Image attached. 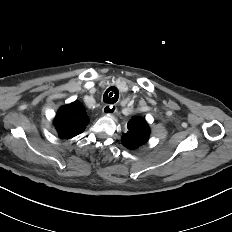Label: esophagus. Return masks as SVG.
<instances>
[{
    "label": "esophagus",
    "instance_id": "34e87169",
    "mask_svg": "<svg viewBox=\"0 0 232 232\" xmlns=\"http://www.w3.org/2000/svg\"><path fill=\"white\" fill-rule=\"evenodd\" d=\"M116 112V107L114 105H105L103 107V113L107 115H112Z\"/></svg>",
    "mask_w": 232,
    "mask_h": 232
}]
</instances>
